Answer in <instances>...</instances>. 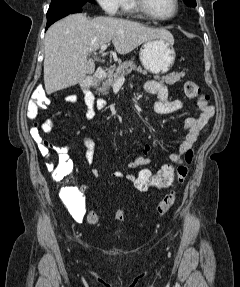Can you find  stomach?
Wrapping results in <instances>:
<instances>
[{
	"label": "stomach",
	"mask_w": 240,
	"mask_h": 287,
	"mask_svg": "<svg viewBox=\"0 0 240 287\" xmlns=\"http://www.w3.org/2000/svg\"><path fill=\"white\" fill-rule=\"evenodd\" d=\"M174 39L156 38L143 43L139 57L143 67L152 74L168 72L176 57Z\"/></svg>",
	"instance_id": "0dacf381"
}]
</instances>
